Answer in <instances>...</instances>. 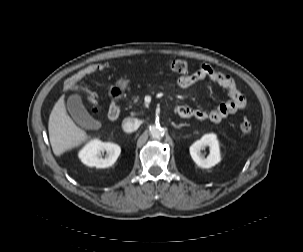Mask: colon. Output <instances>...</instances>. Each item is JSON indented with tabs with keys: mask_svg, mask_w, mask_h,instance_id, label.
I'll use <instances>...</instances> for the list:
<instances>
[{
	"mask_svg": "<svg viewBox=\"0 0 303 252\" xmlns=\"http://www.w3.org/2000/svg\"><path fill=\"white\" fill-rule=\"evenodd\" d=\"M109 66L106 63H98L87 66L86 68L78 71L70 79L67 80V85L72 87L78 80L85 76L92 74L104 73L108 70ZM168 69L176 73H186L189 70V64L184 60L174 59L168 62ZM87 99L92 105H96V94L87 93ZM239 130L244 135H249L252 132V125L247 119H243L239 125Z\"/></svg>",
	"mask_w": 303,
	"mask_h": 252,
	"instance_id": "colon-1",
	"label": "colon"
}]
</instances>
